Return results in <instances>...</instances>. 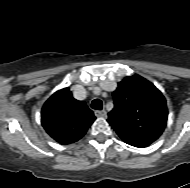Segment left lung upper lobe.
<instances>
[{
    "label": "left lung upper lobe",
    "mask_w": 190,
    "mask_h": 188,
    "mask_svg": "<svg viewBox=\"0 0 190 188\" xmlns=\"http://www.w3.org/2000/svg\"><path fill=\"white\" fill-rule=\"evenodd\" d=\"M114 108L109 124L138 133L161 136L167 124V105L162 93L139 75L124 78L113 92Z\"/></svg>",
    "instance_id": "5c2ea615"
}]
</instances>
